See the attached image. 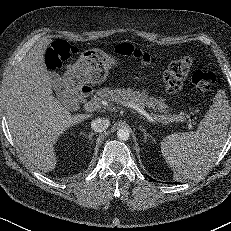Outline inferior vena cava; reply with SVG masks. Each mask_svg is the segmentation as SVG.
<instances>
[{
  "label": "inferior vena cava",
  "instance_id": "inferior-vena-cava-1",
  "mask_svg": "<svg viewBox=\"0 0 231 231\" xmlns=\"http://www.w3.org/2000/svg\"><path fill=\"white\" fill-rule=\"evenodd\" d=\"M110 125L108 118H97L91 122V128L98 133L105 131Z\"/></svg>",
  "mask_w": 231,
  "mask_h": 231
}]
</instances>
